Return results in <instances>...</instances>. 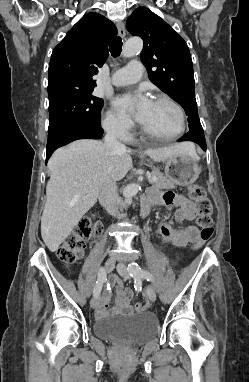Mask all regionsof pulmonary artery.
Here are the masks:
<instances>
[{
    "instance_id": "e3ab8cb5",
    "label": "pulmonary artery",
    "mask_w": 249,
    "mask_h": 382,
    "mask_svg": "<svg viewBox=\"0 0 249 382\" xmlns=\"http://www.w3.org/2000/svg\"><path fill=\"white\" fill-rule=\"evenodd\" d=\"M143 75V65L139 61H131L127 66L119 69L111 78L115 86H125L136 83Z\"/></svg>"
}]
</instances>
